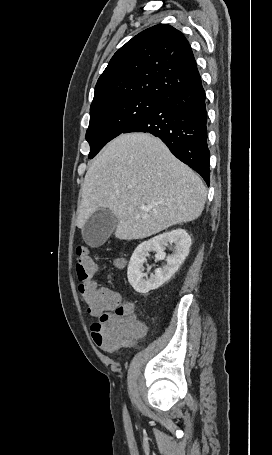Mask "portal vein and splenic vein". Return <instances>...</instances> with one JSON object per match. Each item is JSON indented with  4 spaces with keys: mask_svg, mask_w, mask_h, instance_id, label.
<instances>
[{
    "mask_svg": "<svg viewBox=\"0 0 272 455\" xmlns=\"http://www.w3.org/2000/svg\"><path fill=\"white\" fill-rule=\"evenodd\" d=\"M140 208H141V209H145L146 207H145V206H141Z\"/></svg>",
    "mask_w": 272,
    "mask_h": 455,
    "instance_id": "18ae733b",
    "label": "portal vein and splenic vein"
}]
</instances>
